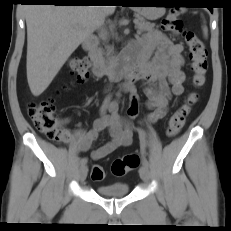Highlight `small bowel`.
Wrapping results in <instances>:
<instances>
[{"instance_id": "small-bowel-1", "label": "small bowel", "mask_w": 231, "mask_h": 231, "mask_svg": "<svg viewBox=\"0 0 231 231\" xmlns=\"http://www.w3.org/2000/svg\"><path fill=\"white\" fill-rule=\"evenodd\" d=\"M140 59L133 72L126 78L123 90L130 96L128 119L122 120L118 115V102L109 105V114L94 122L91 130L73 142L80 151H88L99 134L107 131L110 141L92 150L93 160L102 159L120 147L130 146L133 142V127L130 123L139 110V95L135 82L142 83L147 97V107L151 110L149 120L155 122L168 114L170 101L184 93L186 75L181 44L172 42L163 32L155 30L147 33L137 46ZM67 122V120H63Z\"/></svg>"}]
</instances>
